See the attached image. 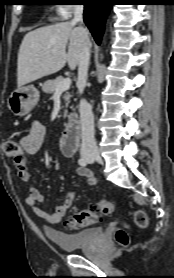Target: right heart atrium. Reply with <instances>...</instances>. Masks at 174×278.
<instances>
[{"instance_id": "right-heart-atrium-1", "label": "right heart atrium", "mask_w": 174, "mask_h": 278, "mask_svg": "<svg viewBox=\"0 0 174 278\" xmlns=\"http://www.w3.org/2000/svg\"><path fill=\"white\" fill-rule=\"evenodd\" d=\"M77 5L74 4H60L55 8L56 16L58 19L64 20L71 16L76 9Z\"/></svg>"}]
</instances>
